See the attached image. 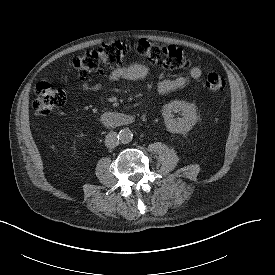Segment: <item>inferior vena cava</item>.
<instances>
[{"label": "inferior vena cava", "mask_w": 275, "mask_h": 275, "mask_svg": "<svg viewBox=\"0 0 275 275\" xmlns=\"http://www.w3.org/2000/svg\"><path fill=\"white\" fill-rule=\"evenodd\" d=\"M105 145L108 148H115L119 145V135L116 132H110L106 135Z\"/></svg>", "instance_id": "obj_1"}]
</instances>
